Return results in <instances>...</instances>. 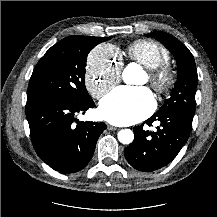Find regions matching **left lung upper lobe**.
<instances>
[{"label": "left lung upper lobe", "mask_w": 217, "mask_h": 217, "mask_svg": "<svg viewBox=\"0 0 217 217\" xmlns=\"http://www.w3.org/2000/svg\"><path fill=\"white\" fill-rule=\"evenodd\" d=\"M147 35L164 44L175 57L178 68V79L170 98L165 101L164 105L155 114L171 110H183L194 114L198 76L192 53L171 34L158 31Z\"/></svg>", "instance_id": "5c2ea615"}]
</instances>
